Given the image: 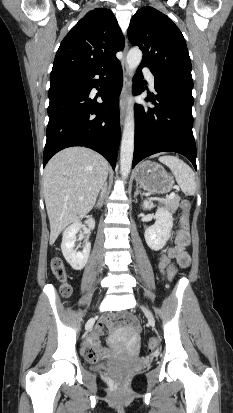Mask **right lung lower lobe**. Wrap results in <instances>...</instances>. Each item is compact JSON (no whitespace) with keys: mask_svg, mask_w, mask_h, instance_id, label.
I'll return each instance as SVG.
<instances>
[{"mask_svg":"<svg viewBox=\"0 0 233 413\" xmlns=\"http://www.w3.org/2000/svg\"><path fill=\"white\" fill-rule=\"evenodd\" d=\"M99 75V79H95ZM106 76V77H104ZM103 80L102 103L89 97ZM123 74L118 59L81 73L50 79L49 123L43 165L58 151L84 146L102 154L115 168L120 141L118 100Z\"/></svg>","mask_w":233,"mask_h":413,"instance_id":"obj_1","label":"right lung lower lobe"}]
</instances>
